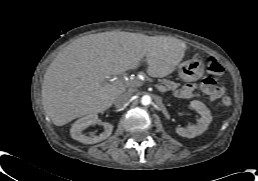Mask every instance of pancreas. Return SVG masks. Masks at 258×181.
<instances>
[{
    "label": "pancreas",
    "instance_id": "obj_1",
    "mask_svg": "<svg viewBox=\"0 0 258 181\" xmlns=\"http://www.w3.org/2000/svg\"><path fill=\"white\" fill-rule=\"evenodd\" d=\"M162 84L164 85V87L166 88V90H175L179 87L178 83H175L174 81H170V80H163Z\"/></svg>",
    "mask_w": 258,
    "mask_h": 181
}]
</instances>
